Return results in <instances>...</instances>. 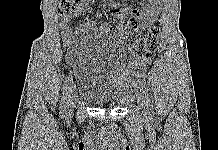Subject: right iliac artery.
<instances>
[{
    "instance_id": "1",
    "label": "right iliac artery",
    "mask_w": 218,
    "mask_h": 150,
    "mask_svg": "<svg viewBox=\"0 0 218 150\" xmlns=\"http://www.w3.org/2000/svg\"><path fill=\"white\" fill-rule=\"evenodd\" d=\"M73 79L72 77H68L66 81V85L63 89L62 103H61V111L64 113L66 111L67 103L70 97V92L72 90Z\"/></svg>"
}]
</instances>
